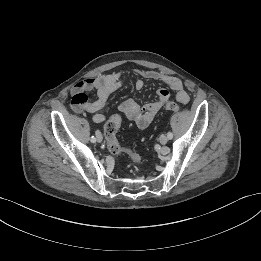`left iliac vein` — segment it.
I'll return each instance as SVG.
<instances>
[{
  "instance_id": "4c4485c4",
  "label": "left iliac vein",
  "mask_w": 261,
  "mask_h": 261,
  "mask_svg": "<svg viewBox=\"0 0 261 261\" xmlns=\"http://www.w3.org/2000/svg\"><path fill=\"white\" fill-rule=\"evenodd\" d=\"M159 141L162 145H165L168 142V137L164 134H162L159 138Z\"/></svg>"
}]
</instances>
